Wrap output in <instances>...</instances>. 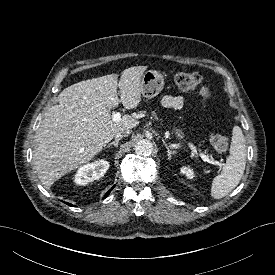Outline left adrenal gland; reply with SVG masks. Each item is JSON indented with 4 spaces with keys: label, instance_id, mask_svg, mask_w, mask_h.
Segmentation results:
<instances>
[{
    "label": "left adrenal gland",
    "instance_id": "a2214340",
    "mask_svg": "<svg viewBox=\"0 0 275 275\" xmlns=\"http://www.w3.org/2000/svg\"><path fill=\"white\" fill-rule=\"evenodd\" d=\"M163 144H164V146H165L166 149H167L168 159L171 160V157H172V155L175 154V152H172V151L169 149L168 145L166 144V142H165L164 140H163Z\"/></svg>",
    "mask_w": 275,
    "mask_h": 275
}]
</instances>
